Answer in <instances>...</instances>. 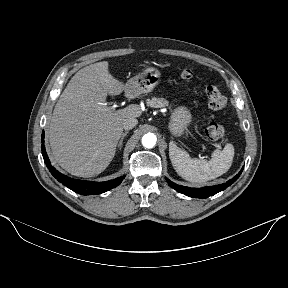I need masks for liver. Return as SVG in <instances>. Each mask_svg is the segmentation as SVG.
<instances>
[{"label":"liver","instance_id":"liver-1","mask_svg":"<svg viewBox=\"0 0 288 288\" xmlns=\"http://www.w3.org/2000/svg\"><path fill=\"white\" fill-rule=\"evenodd\" d=\"M108 67V62L102 61L79 70L59 97L50 120L48 138L54 159L79 177L103 172L114 158L123 123L141 115L136 104L112 112L103 110L108 94L126 92V85L114 78Z\"/></svg>","mask_w":288,"mask_h":288}]
</instances>
